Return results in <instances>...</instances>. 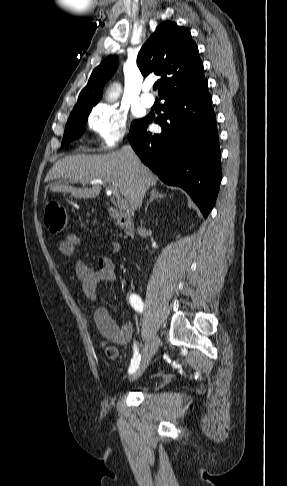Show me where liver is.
I'll use <instances>...</instances> for the list:
<instances>
[{
	"label": "liver",
	"instance_id": "liver-1",
	"mask_svg": "<svg viewBox=\"0 0 287 486\" xmlns=\"http://www.w3.org/2000/svg\"><path fill=\"white\" fill-rule=\"evenodd\" d=\"M139 160V159H138ZM149 186H154L157 177L139 161ZM142 173L134 159L124 150L103 155L67 156L58 160L46 176V181L69 179L79 181L83 188L67 184L50 185L52 192L70 193L74 198L89 199L100 194L101 186L109 184L128 201L132 211L138 208L137 193ZM87 184L92 187H85Z\"/></svg>",
	"mask_w": 287,
	"mask_h": 486
}]
</instances>
